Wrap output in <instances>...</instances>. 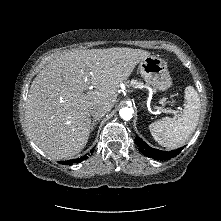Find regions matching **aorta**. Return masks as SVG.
Listing matches in <instances>:
<instances>
[{"mask_svg": "<svg viewBox=\"0 0 221 221\" xmlns=\"http://www.w3.org/2000/svg\"><path fill=\"white\" fill-rule=\"evenodd\" d=\"M119 113L122 119L128 121L133 117L134 110L130 107H124L120 109Z\"/></svg>", "mask_w": 221, "mask_h": 221, "instance_id": "762f6f07", "label": "aorta"}]
</instances>
